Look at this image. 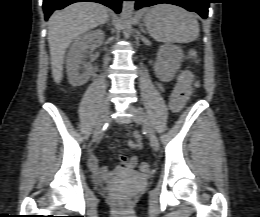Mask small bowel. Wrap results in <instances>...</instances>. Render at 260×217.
<instances>
[{
	"mask_svg": "<svg viewBox=\"0 0 260 217\" xmlns=\"http://www.w3.org/2000/svg\"><path fill=\"white\" fill-rule=\"evenodd\" d=\"M192 79L193 76L190 71L183 70L178 74L170 97V105L173 111L177 112L181 109L185 99L189 95ZM157 87L160 91L163 90V87L160 83H157ZM128 146L132 150H140L143 147L141 136L138 133H134L128 142ZM137 163V157H127L125 155H121L117 163L116 172L124 173L132 171ZM88 164L90 170L98 178H106L112 175L111 170L99 165L98 160L94 155L89 156Z\"/></svg>",
	"mask_w": 260,
	"mask_h": 217,
	"instance_id": "1",
	"label": "small bowel"
}]
</instances>
